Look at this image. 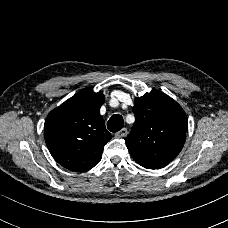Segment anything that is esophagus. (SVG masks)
I'll use <instances>...</instances> for the list:
<instances>
[{
  "mask_svg": "<svg viewBox=\"0 0 228 228\" xmlns=\"http://www.w3.org/2000/svg\"><path fill=\"white\" fill-rule=\"evenodd\" d=\"M128 135V130L127 128H122L120 131H118L116 134H115V137L117 138H122V137H126Z\"/></svg>",
  "mask_w": 228,
  "mask_h": 228,
  "instance_id": "obj_1",
  "label": "esophagus"
}]
</instances>
